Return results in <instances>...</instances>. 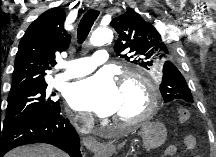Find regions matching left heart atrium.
I'll list each match as a JSON object with an SVG mask.
<instances>
[{
  "label": "left heart atrium",
  "mask_w": 216,
  "mask_h": 157,
  "mask_svg": "<svg viewBox=\"0 0 216 157\" xmlns=\"http://www.w3.org/2000/svg\"><path fill=\"white\" fill-rule=\"evenodd\" d=\"M120 88L109 71L73 83L67 92L69 105L78 111L94 112L101 117L114 114L119 106Z\"/></svg>",
  "instance_id": "39dd6f15"
}]
</instances>
